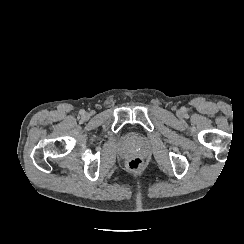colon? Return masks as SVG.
<instances>
[{
    "mask_svg": "<svg viewBox=\"0 0 244 244\" xmlns=\"http://www.w3.org/2000/svg\"><path fill=\"white\" fill-rule=\"evenodd\" d=\"M126 164L130 170H136L140 167L141 160L138 158H131L126 162Z\"/></svg>",
    "mask_w": 244,
    "mask_h": 244,
    "instance_id": "colon-1",
    "label": "colon"
}]
</instances>
